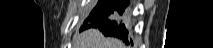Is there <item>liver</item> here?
Instances as JSON below:
<instances>
[{"instance_id":"obj_1","label":"liver","mask_w":213,"mask_h":48,"mask_svg":"<svg viewBox=\"0 0 213 48\" xmlns=\"http://www.w3.org/2000/svg\"><path fill=\"white\" fill-rule=\"evenodd\" d=\"M74 48H124V45L114 38H105L97 29H88L73 37Z\"/></svg>"}]
</instances>
